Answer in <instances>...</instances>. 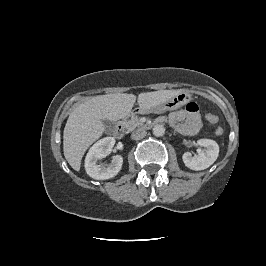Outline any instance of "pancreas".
I'll return each instance as SVG.
<instances>
[{
	"label": "pancreas",
	"instance_id": "1",
	"mask_svg": "<svg viewBox=\"0 0 266 266\" xmlns=\"http://www.w3.org/2000/svg\"><path fill=\"white\" fill-rule=\"evenodd\" d=\"M143 126V123L139 120V118L137 117H134L132 119H130L128 122H127V129L128 131H132L134 130L136 127H142Z\"/></svg>",
	"mask_w": 266,
	"mask_h": 266
}]
</instances>
